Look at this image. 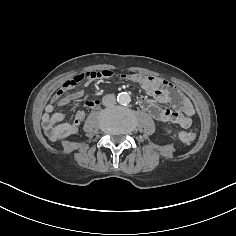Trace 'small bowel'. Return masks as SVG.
<instances>
[{
  "mask_svg": "<svg viewBox=\"0 0 236 236\" xmlns=\"http://www.w3.org/2000/svg\"><path fill=\"white\" fill-rule=\"evenodd\" d=\"M101 72V71H100ZM99 72L88 71L75 75L62 83L52 99L45 106L42 117V124L46 135L52 141H59L74 135L85 118V112L78 110L73 114L72 122H64L65 116L62 113H54L56 106H64L71 101L84 97L85 90L79 89L69 93L81 83H89L96 78L109 79L110 77H100ZM135 79L131 82L139 83L146 95H139L137 98L139 106L147 111L155 120L163 123H174L181 128H189L192 123L191 117L195 110L191 101L178 89L172 87L167 81L155 76H142L133 74ZM122 79L127 80L124 76ZM129 81V80H128ZM149 97H153L160 103H171L174 109L161 108ZM99 105L98 100H85L84 106L95 109Z\"/></svg>",
  "mask_w": 236,
  "mask_h": 236,
  "instance_id": "small-bowel-1",
  "label": "small bowel"
}]
</instances>
